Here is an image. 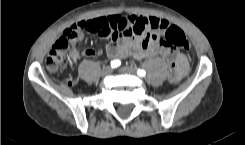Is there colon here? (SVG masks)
<instances>
[{
	"label": "colon",
	"mask_w": 245,
	"mask_h": 145,
	"mask_svg": "<svg viewBox=\"0 0 245 145\" xmlns=\"http://www.w3.org/2000/svg\"><path fill=\"white\" fill-rule=\"evenodd\" d=\"M90 24H87L81 30L89 31ZM78 29L68 28L52 46L46 58V68L50 73L58 72L64 66L67 58L68 40L76 34ZM146 38H152L156 45L171 46L179 49L189 50L191 48L190 41L177 26H170L161 36L158 34H146ZM174 69V65L171 66Z\"/></svg>",
	"instance_id": "1"
}]
</instances>
